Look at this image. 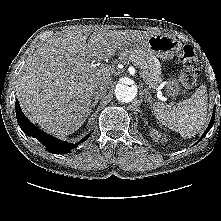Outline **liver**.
Returning <instances> with one entry per match:
<instances>
[{
	"label": "liver",
	"instance_id": "1",
	"mask_svg": "<svg viewBox=\"0 0 221 221\" xmlns=\"http://www.w3.org/2000/svg\"><path fill=\"white\" fill-rule=\"evenodd\" d=\"M152 35L109 30L89 37L87 31L71 30L51 37L19 73L16 94L24 114L50 134L73 133L90 114L94 90L99 86L108 89L115 73L113 66H92L90 61L111 58L129 42Z\"/></svg>",
	"mask_w": 221,
	"mask_h": 221
}]
</instances>
